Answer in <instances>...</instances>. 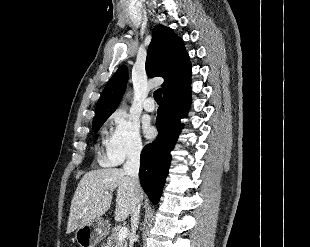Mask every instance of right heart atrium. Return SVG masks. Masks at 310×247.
<instances>
[{"mask_svg":"<svg viewBox=\"0 0 310 247\" xmlns=\"http://www.w3.org/2000/svg\"><path fill=\"white\" fill-rule=\"evenodd\" d=\"M112 131L106 143L102 163L118 165L126 159L138 158L143 142L138 122L123 110H117L110 118Z\"/></svg>","mask_w":310,"mask_h":247,"instance_id":"obj_1","label":"right heart atrium"}]
</instances>
